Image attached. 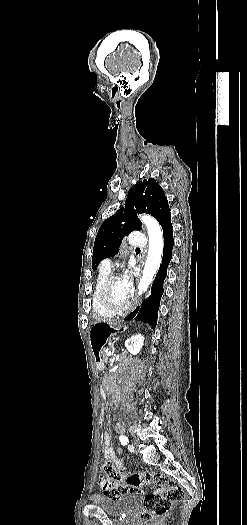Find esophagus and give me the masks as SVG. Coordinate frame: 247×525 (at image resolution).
<instances>
[{
    "label": "esophagus",
    "instance_id": "esophagus-1",
    "mask_svg": "<svg viewBox=\"0 0 247 525\" xmlns=\"http://www.w3.org/2000/svg\"><path fill=\"white\" fill-rule=\"evenodd\" d=\"M145 273H146V270L143 267H140V270H139L136 282H141L140 278H143L145 276ZM140 307H141V302H140L139 299H136L135 306L132 308V310L130 312V316L132 318H135V316H137Z\"/></svg>",
    "mask_w": 247,
    "mask_h": 525
}]
</instances>
